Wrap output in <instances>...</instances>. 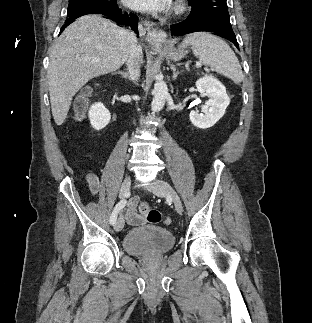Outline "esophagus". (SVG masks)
<instances>
[{
    "mask_svg": "<svg viewBox=\"0 0 312 323\" xmlns=\"http://www.w3.org/2000/svg\"><path fill=\"white\" fill-rule=\"evenodd\" d=\"M150 23L144 20L139 22V30L146 33V40L152 48H159L167 40V34L163 30L150 29Z\"/></svg>",
    "mask_w": 312,
    "mask_h": 323,
    "instance_id": "34e87169",
    "label": "esophagus"
}]
</instances>
